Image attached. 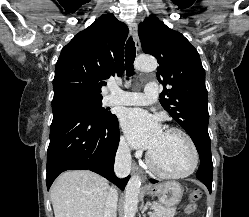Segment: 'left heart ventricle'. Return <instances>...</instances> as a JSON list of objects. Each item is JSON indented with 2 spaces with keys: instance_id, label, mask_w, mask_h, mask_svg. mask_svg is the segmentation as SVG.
I'll list each match as a JSON object with an SVG mask.
<instances>
[{
  "instance_id": "1",
  "label": "left heart ventricle",
  "mask_w": 249,
  "mask_h": 217,
  "mask_svg": "<svg viewBox=\"0 0 249 217\" xmlns=\"http://www.w3.org/2000/svg\"><path fill=\"white\" fill-rule=\"evenodd\" d=\"M151 153L156 165L171 173L184 172L192 163L191 149L184 137L178 133L163 132Z\"/></svg>"
}]
</instances>
